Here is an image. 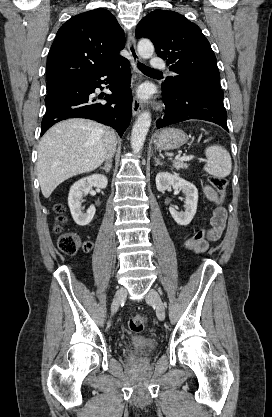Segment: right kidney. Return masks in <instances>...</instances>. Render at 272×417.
<instances>
[{"mask_svg":"<svg viewBox=\"0 0 272 417\" xmlns=\"http://www.w3.org/2000/svg\"><path fill=\"white\" fill-rule=\"evenodd\" d=\"M107 184L108 180L106 176L94 174L80 179L71 186L68 196V205L71 215L77 225H88L92 221L96 211L94 206H90L86 212L82 211L81 200L83 195H87L92 187L105 189Z\"/></svg>","mask_w":272,"mask_h":417,"instance_id":"obj_1","label":"right kidney"}]
</instances>
